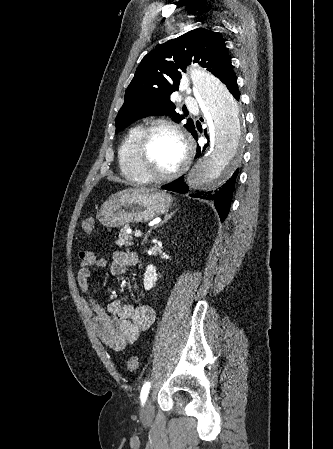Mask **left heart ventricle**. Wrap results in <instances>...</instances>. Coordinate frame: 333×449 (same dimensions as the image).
<instances>
[{"label": "left heart ventricle", "instance_id": "left-heart-ventricle-1", "mask_svg": "<svg viewBox=\"0 0 333 449\" xmlns=\"http://www.w3.org/2000/svg\"><path fill=\"white\" fill-rule=\"evenodd\" d=\"M184 158V148L179 138L168 131L155 132L148 145L146 166L157 174L176 169Z\"/></svg>", "mask_w": 333, "mask_h": 449}]
</instances>
